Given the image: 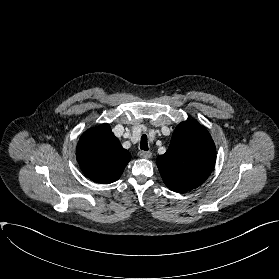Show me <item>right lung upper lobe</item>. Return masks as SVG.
I'll return each instance as SVG.
<instances>
[{
	"label": "right lung upper lobe",
	"instance_id": "obj_1",
	"mask_svg": "<svg viewBox=\"0 0 279 279\" xmlns=\"http://www.w3.org/2000/svg\"><path fill=\"white\" fill-rule=\"evenodd\" d=\"M76 156L83 173L101 184L119 179L131 159L108 124L88 129L77 144Z\"/></svg>",
	"mask_w": 279,
	"mask_h": 279
}]
</instances>
